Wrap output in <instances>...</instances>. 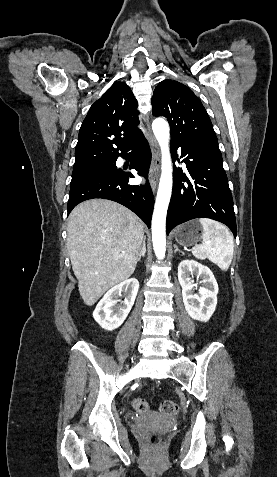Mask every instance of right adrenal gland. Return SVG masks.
<instances>
[{
  "label": "right adrenal gland",
  "mask_w": 277,
  "mask_h": 477,
  "mask_svg": "<svg viewBox=\"0 0 277 477\" xmlns=\"http://www.w3.org/2000/svg\"><path fill=\"white\" fill-rule=\"evenodd\" d=\"M145 252H146V244H145V238L143 239V244H142V249L140 251L139 257L137 259V262L140 261L142 257H145Z\"/></svg>",
  "instance_id": "2a0ac1e0"
}]
</instances>
